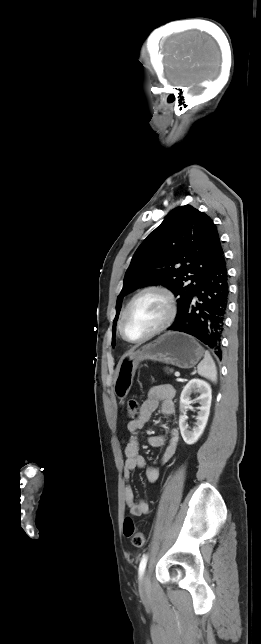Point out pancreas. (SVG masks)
I'll return each instance as SVG.
<instances>
[{"instance_id":"obj_1","label":"pancreas","mask_w":261,"mask_h":644,"mask_svg":"<svg viewBox=\"0 0 261 644\" xmlns=\"http://www.w3.org/2000/svg\"><path fill=\"white\" fill-rule=\"evenodd\" d=\"M166 370H167V369H166ZM169 371H170V372H173V370H172V369H170Z\"/></svg>"}]
</instances>
